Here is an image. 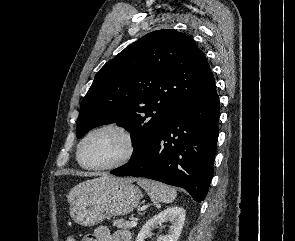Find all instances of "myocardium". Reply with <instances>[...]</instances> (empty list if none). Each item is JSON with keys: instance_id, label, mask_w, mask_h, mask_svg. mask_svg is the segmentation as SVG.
Segmentation results:
<instances>
[{"instance_id": "myocardium-1", "label": "myocardium", "mask_w": 295, "mask_h": 241, "mask_svg": "<svg viewBox=\"0 0 295 241\" xmlns=\"http://www.w3.org/2000/svg\"><path fill=\"white\" fill-rule=\"evenodd\" d=\"M103 130H113V131H116L119 134H121L126 142V152L121 159H119L118 161H116L112 164L103 165V166L86 165L82 161V158H81L83 146H84L85 142L94 133L99 132V131H103ZM135 152H136V142H135V138H134L132 132L123 125L116 124V123H108V124H103V125L93 128L82 138V140L80 141L78 148H77L76 158H77V161L80 164V166L84 169L93 170V171H106V170L116 169V168H119V167L127 164L133 158Z\"/></svg>"}]
</instances>
